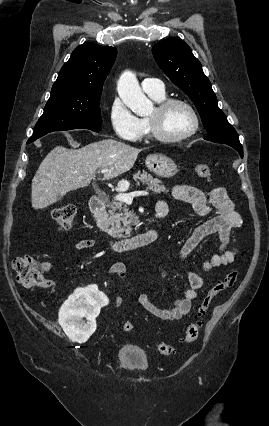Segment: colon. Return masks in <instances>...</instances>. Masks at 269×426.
Wrapping results in <instances>:
<instances>
[{"mask_svg":"<svg viewBox=\"0 0 269 426\" xmlns=\"http://www.w3.org/2000/svg\"><path fill=\"white\" fill-rule=\"evenodd\" d=\"M198 176L204 180H211L212 171L207 164L199 163L195 167ZM76 208L73 204L66 203L52 210V218L61 230L70 229L75 221ZM13 268L16 273V280L23 286H37L42 287L45 284L44 271L42 269V263L33 258L32 256H21L17 257L13 261ZM239 273L237 270H232L226 274V276L205 294L201 302L199 303L195 313L194 320L191 322L184 334L182 342L185 344L193 343L197 340L199 335V329L202 324V320L207 313L208 308L214 301V299L226 291L232 288L237 280ZM122 328L125 332L133 330V323L131 321H124ZM158 353L164 356H170L174 353V347L166 342H159L156 345Z\"/></svg>","mask_w":269,"mask_h":426,"instance_id":"obj_1","label":"colon"}]
</instances>
